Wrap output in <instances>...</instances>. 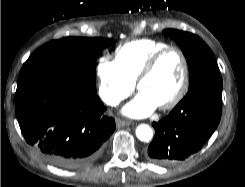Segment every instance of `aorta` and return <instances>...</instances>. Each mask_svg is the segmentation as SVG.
<instances>
[{"instance_id":"762f6f07","label":"aorta","mask_w":245,"mask_h":187,"mask_svg":"<svg viewBox=\"0 0 245 187\" xmlns=\"http://www.w3.org/2000/svg\"><path fill=\"white\" fill-rule=\"evenodd\" d=\"M136 136L139 140L148 142L153 136V131L150 126L141 124L136 128Z\"/></svg>"}]
</instances>
